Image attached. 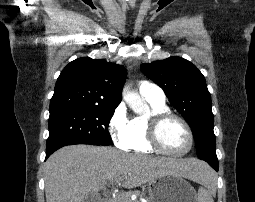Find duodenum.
<instances>
[{"mask_svg": "<svg viewBox=\"0 0 255 202\" xmlns=\"http://www.w3.org/2000/svg\"><path fill=\"white\" fill-rule=\"evenodd\" d=\"M101 202H108V200L107 199H103Z\"/></svg>", "mask_w": 255, "mask_h": 202, "instance_id": "duodenum-1", "label": "duodenum"}]
</instances>
